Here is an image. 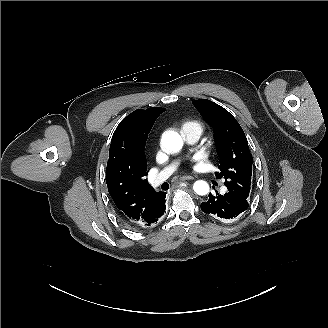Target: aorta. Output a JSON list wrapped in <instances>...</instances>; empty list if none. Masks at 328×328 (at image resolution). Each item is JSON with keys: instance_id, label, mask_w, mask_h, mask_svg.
Listing matches in <instances>:
<instances>
[{"instance_id": "1", "label": "aorta", "mask_w": 328, "mask_h": 328, "mask_svg": "<svg viewBox=\"0 0 328 328\" xmlns=\"http://www.w3.org/2000/svg\"><path fill=\"white\" fill-rule=\"evenodd\" d=\"M161 144L167 152L174 153L181 150L183 146L182 137L174 131H169L163 134ZM194 192L198 195H206L209 193V185L206 181L198 180L193 185Z\"/></svg>"}]
</instances>
